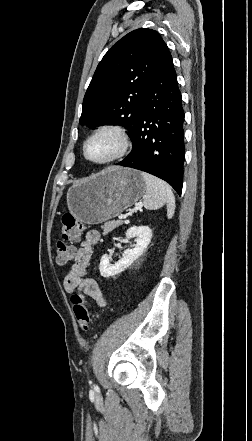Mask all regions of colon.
<instances>
[{
  "label": "colon",
  "instance_id": "colon-1",
  "mask_svg": "<svg viewBox=\"0 0 252 441\" xmlns=\"http://www.w3.org/2000/svg\"><path fill=\"white\" fill-rule=\"evenodd\" d=\"M84 226L71 214L62 217V240L57 243L56 263L64 266L69 263L75 252L74 243L79 241ZM72 308L78 323L83 330H88L91 318L84 298L75 293L72 298Z\"/></svg>",
  "mask_w": 252,
  "mask_h": 441
}]
</instances>
